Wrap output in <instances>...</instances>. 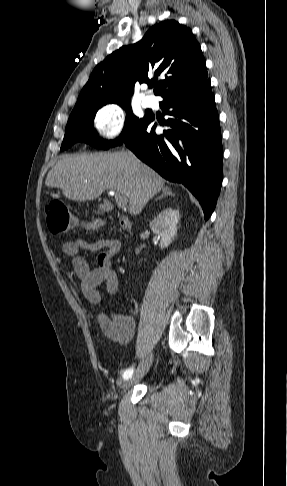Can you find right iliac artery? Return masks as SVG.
<instances>
[{
  "label": "right iliac artery",
  "mask_w": 287,
  "mask_h": 486,
  "mask_svg": "<svg viewBox=\"0 0 287 486\" xmlns=\"http://www.w3.org/2000/svg\"><path fill=\"white\" fill-rule=\"evenodd\" d=\"M133 372H134L133 368H129L125 370V372L123 373V378L126 380L129 379L132 376Z\"/></svg>",
  "instance_id": "1"
}]
</instances>
